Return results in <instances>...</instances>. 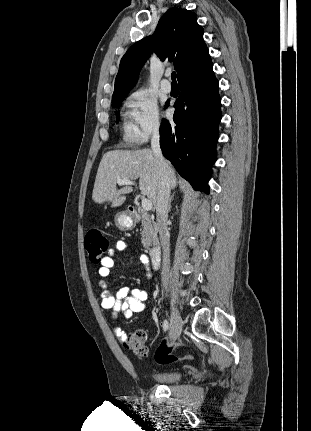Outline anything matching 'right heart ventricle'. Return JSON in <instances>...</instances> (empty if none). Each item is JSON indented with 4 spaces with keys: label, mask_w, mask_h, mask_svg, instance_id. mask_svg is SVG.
<instances>
[{
    "label": "right heart ventricle",
    "mask_w": 311,
    "mask_h": 431,
    "mask_svg": "<svg viewBox=\"0 0 311 431\" xmlns=\"http://www.w3.org/2000/svg\"><path fill=\"white\" fill-rule=\"evenodd\" d=\"M121 138L125 144H131L137 141L135 127L126 117L122 118Z\"/></svg>",
    "instance_id": "e07e8e85"
}]
</instances>
